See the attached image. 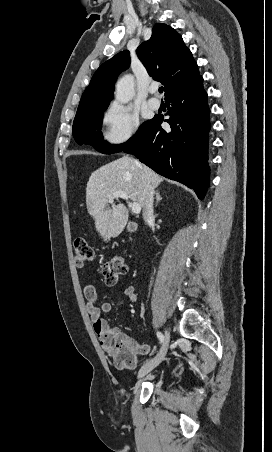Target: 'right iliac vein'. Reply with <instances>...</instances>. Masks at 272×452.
<instances>
[{
	"label": "right iliac vein",
	"mask_w": 272,
	"mask_h": 452,
	"mask_svg": "<svg viewBox=\"0 0 272 452\" xmlns=\"http://www.w3.org/2000/svg\"><path fill=\"white\" fill-rule=\"evenodd\" d=\"M170 342V331L168 329H165V336H164V341L163 344L159 350V352L157 353V355L151 359L150 361H148L147 363H145L140 370L138 371V378H142L145 375H147L150 371H152L155 367H157L164 359L167 350H168V345Z\"/></svg>",
	"instance_id": "obj_1"
}]
</instances>
